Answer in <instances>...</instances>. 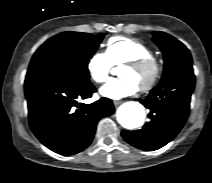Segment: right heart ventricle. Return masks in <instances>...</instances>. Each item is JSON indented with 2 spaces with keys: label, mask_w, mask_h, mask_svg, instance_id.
Returning <instances> with one entry per match:
<instances>
[{
  "label": "right heart ventricle",
  "mask_w": 212,
  "mask_h": 183,
  "mask_svg": "<svg viewBox=\"0 0 212 183\" xmlns=\"http://www.w3.org/2000/svg\"><path fill=\"white\" fill-rule=\"evenodd\" d=\"M106 54L113 66L142 57H154L153 50L143 42L127 37H112L106 43Z\"/></svg>",
  "instance_id": "obj_1"
}]
</instances>
